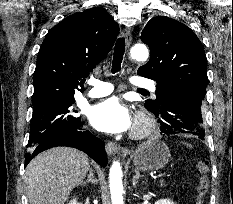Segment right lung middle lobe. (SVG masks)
Listing matches in <instances>:
<instances>
[{"mask_svg":"<svg viewBox=\"0 0 233 204\" xmlns=\"http://www.w3.org/2000/svg\"><path fill=\"white\" fill-rule=\"evenodd\" d=\"M75 102L72 98H58L44 100L33 104L30 136L27 147L33 150L51 136L65 130L77 129L81 125L71 106Z\"/></svg>","mask_w":233,"mask_h":204,"instance_id":"right-lung-middle-lobe-1","label":"right lung middle lobe"}]
</instances>
